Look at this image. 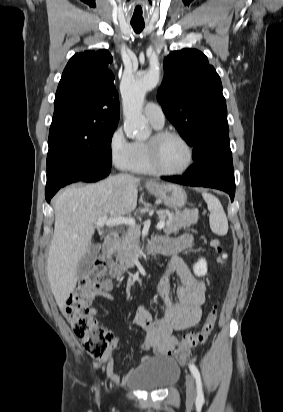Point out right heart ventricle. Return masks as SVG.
<instances>
[{
    "label": "right heart ventricle",
    "instance_id": "right-heart-ventricle-1",
    "mask_svg": "<svg viewBox=\"0 0 283 412\" xmlns=\"http://www.w3.org/2000/svg\"><path fill=\"white\" fill-rule=\"evenodd\" d=\"M128 170L137 174L154 173L148 158L147 141H135L132 143V158Z\"/></svg>",
    "mask_w": 283,
    "mask_h": 412
}]
</instances>
